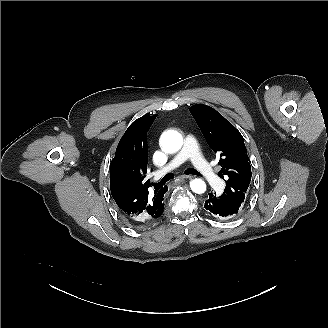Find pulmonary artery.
Instances as JSON below:
<instances>
[{"label":"pulmonary artery","mask_w":328,"mask_h":328,"mask_svg":"<svg viewBox=\"0 0 328 328\" xmlns=\"http://www.w3.org/2000/svg\"><path fill=\"white\" fill-rule=\"evenodd\" d=\"M186 139L187 142L185 143V146L174 157V166L178 169L183 168L189 158V160L196 165V171L201 173L209 184H218L221 179L220 172L213 164H211V161L207 159L203 150L199 148V137L192 134L187 135ZM167 169L168 167L165 168V170Z\"/></svg>","instance_id":"e3ab8cb5"}]
</instances>
